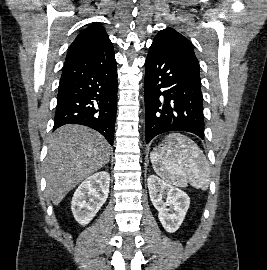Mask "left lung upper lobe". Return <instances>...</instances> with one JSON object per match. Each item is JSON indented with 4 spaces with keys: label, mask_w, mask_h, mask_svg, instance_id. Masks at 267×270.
Returning a JSON list of instances; mask_svg holds the SVG:
<instances>
[{
    "label": "left lung upper lobe",
    "mask_w": 267,
    "mask_h": 270,
    "mask_svg": "<svg viewBox=\"0 0 267 270\" xmlns=\"http://www.w3.org/2000/svg\"><path fill=\"white\" fill-rule=\"evenodd\" d=\"M152 44L171 53L199 72V62L195 56L192 44L176 30L172 28L161 30L154 38Z\"/></svg>",
    "instance_id": "left-lung-upper-lobe-1"
}]
</instances>
